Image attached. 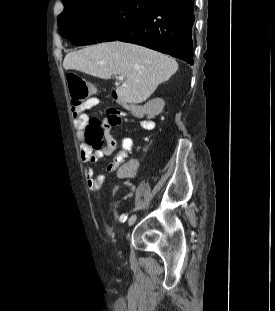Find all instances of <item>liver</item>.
Instances as JSON below:
<instances>
[{
	"label": "liver",
	"mask_w": 275,
	"mask_h": 311,
	"mask_svg": "<svg viewBox=\"0 0 275 311\" xmlns=\"http://www.w3.org/2000/svg\"><path fill=\"white\" fill-rule=\"evenodd\" d=\"M63 67L101 79L123 75L125 82L116 89L119 101L138 104L146 101L160 83L177 71L178 63L143 46L113 41L68 53Z\"/></svg>",
	"instance_id": "1"
}]
</instances>
